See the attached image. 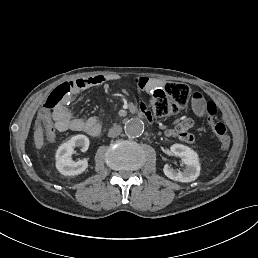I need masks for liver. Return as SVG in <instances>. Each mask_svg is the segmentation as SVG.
<instances>
[{
  "mask_svg": "<svg viewBox=\"0 0 258 258\" xmlns=\"http://www.w3.org/2000/svg\"><path fill=\"white\" fill-rule=\"evenodd\" d=\"M36 129L34 132V142L37 149H41L44 144V138H43V128L41 126V123L37 120L35 122Z\"/></svg>",
  "mask_w": 258,
  "mask_h": 258,
  "instance_id": "6515ba94",
  "label": "liver"
}]
</instances>
